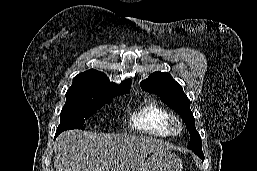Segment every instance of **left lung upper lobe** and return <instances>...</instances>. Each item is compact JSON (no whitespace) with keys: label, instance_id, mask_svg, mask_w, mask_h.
<instances>
[{"label":"left lung upper lobe","instance_id":"obj_1","mask_svg":"<svg viewBox=\"0 0 257 171\" xmlns=\"http://www.w3.org/2000/svg\"><path fill=\"white\" fill-rule=\"evenodd\" d=\"M141 86L146 91L158 95L165 104L180 114L190 133L188 148L193 152H202L201 137L195 128V119L190 110V100L172 76L167 72H154L141 82Z\"/></svg>","mask_w":257,"mask_h":171}]
</instances>
